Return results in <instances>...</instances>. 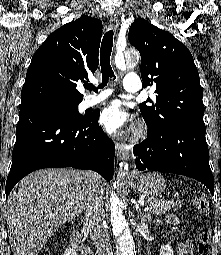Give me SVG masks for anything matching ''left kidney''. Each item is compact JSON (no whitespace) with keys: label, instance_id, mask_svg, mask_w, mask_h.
Returning a JSON list of instances; mask_svg holds the SVG:
<instances>
[{"label":"left kidney","instance_id":"5707ae66","mask_svg":"<svg viewBox=\"0 0 221 255\" xmlns=\"http://www.w3.org/2000/svg\"><path fill=\"white\" fill-rule=\"evenodd\" d=\"M160 255H174V251L169 244L162 245L160 248Z\"/></svg>","mask_w":221,"mask_h":255}]
</instances>
